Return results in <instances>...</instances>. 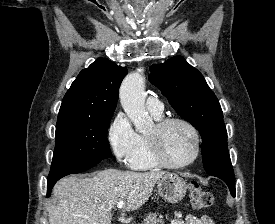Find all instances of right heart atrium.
Listing matches in <instances>:
<instances>
[{
  "label": "right heart atrium",
  "instance_id": "obj_1",
  "mask_svg": "<svg viewBox=\"0 0 275 224\" xmlns=\"http://www.w3.org/2000/svg\"><path fill=\"white\" fill-rule=\"evenodd\" d=\"M108 141L116 159L128 162L138 146V134L124 113H118L111 123Z\"/></svg>",
  "mask_w": 275,
  "mask_h": 224
}]
</instances>
